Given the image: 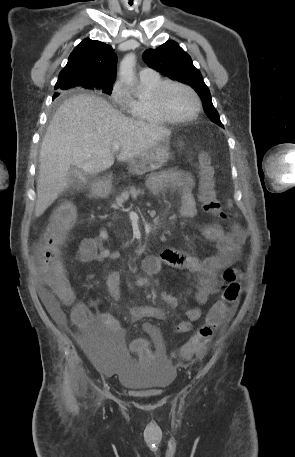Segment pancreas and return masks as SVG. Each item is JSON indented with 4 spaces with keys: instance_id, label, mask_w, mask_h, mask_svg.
I'll use <instances>...</instances> for the list:
<instances>
[{
    "instance_id": "1",
    "label": "pancreas",
    "mask_w": 295,
    "mask_h": 457,
    "mask_svg": "<svg viewBox=\"0 0 295 457\" xmlns=\"http://www.w3.org/2000/svg\"><path fill=\"white\" fill-rule=\"evenodd\" d=\"M143 194V191L140 189H135L131 186L127 190H124L118 197H116L115 203L112 205L113 208L123 207V203L129 199L131 196L133 199H136L138 195Z\"/></svg>"
}]
</instances>
